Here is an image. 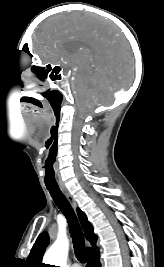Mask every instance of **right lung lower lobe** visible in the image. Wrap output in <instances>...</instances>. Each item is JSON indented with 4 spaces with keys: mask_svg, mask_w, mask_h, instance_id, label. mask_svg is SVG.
Instances as JSON below:
<instances>
[{
    "mask_svg": "<svg viewBox=\"0 0 164 267\" xmlns=\"http://www.w3.org/2000/svg\"><path fill=\"white\" fill-rule=\"evenodd\" d=\"M86 267H100L99 256L96 252L87 255V266Z\"/></svg>",
    "mask_w": 164,
    "mask_h": 267,
    "instance_id": "obj_1",
    "label": "right lung lower lobe"
}]
</instances>
